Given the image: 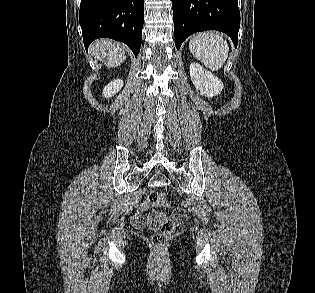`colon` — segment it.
I'll list each match as a JSON object with an SVG mask.
<instances>
[{"label":"colon","instance_id":"5ec220e1","mask_svg":"<svg viewBox=\"0 0 315 293\" xmlns=\"http://www.w3.org/2000/svg\"><path fill=\"white\" fill-rule=\"evenodd\" d=\"M149 202L154 206H162L166 203V194L162 191L150 193ZM186 219V214L182 209H174L172 218L165 217L158 224V231L152 236L151 243L154 247H163L175 232L179 223Z\"/></svg>","mask_w":315,"mask_h":293}]
</instances>
